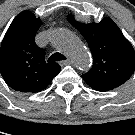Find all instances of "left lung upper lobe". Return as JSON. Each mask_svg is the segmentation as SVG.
Wrapping results in <instances>:
<instances>
[{
	"label": "left lung upper lobe",
	"instance_id": "1",
	"mask_svg": "<svg viewBox=\"0 0 135 135\" xmlns=\"http://www.w3.org/2000/svg\"><path fill=\"white\" fill-rule=\"evenodd\" d=\"M69 22L84 36L93 55L90 71L82 75L96 91H109L125 83L135 71V51L114 21L84 24L68 16Z\"/></svg>",
	"mask_w": 135,
	"mask_h": 135
}]
</instances>
